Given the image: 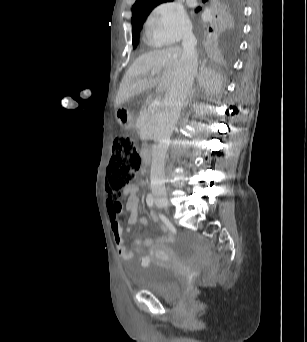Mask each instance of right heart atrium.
Instances as JSON below:
<instances>
[{
  "instance_id": "1",
  "label": "right heart atrium",
  "mask_w": 307,
  "mask_h": 342,
  "mask_svg": "<svg viewBox=\"0 0 307 342\" xmlns=\"http://www.w3.org/2000/svg\"><path fill=\"white\" fill-rule=\"evenodd\" d=\"M190 31L186 16L172 5L157 7L143 25V35L159 46L175 45Z\"/></svg>"
}]
</instances>
